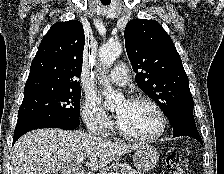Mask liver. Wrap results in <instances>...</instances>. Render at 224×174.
Segmentation results:
<instances>
[{
  "label": "liver",
  "instance_id": "liver-1",
  "mask_svg": "<svg viewBox=\"0 0 224 174\" xmlns=\"http://www.w3.org/2000/svg\"><path fill=\"white\" fill-rule=\"evenodd\" d=\"M140 144L106 141L81 131L38 129L18 139L14 144L11 163L13 174H82L78 157H87L91 171L136 150Z\"/></svg>",
  "mask_w": 224,
  "mask_h": 174
}]
</instances>
